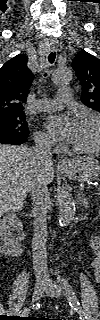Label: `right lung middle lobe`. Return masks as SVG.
Returning a JSON list of instances; mask_svg holds the SVG:
<instances>
[{
    "label": "right lung middle lobe",
    "instance_id": "dd1d6c3e",
    "mask_svg": "<svg viewBox=\"0 0 100 320\" xmlns=\"http://www.w3.org/2000/svg\"><path fill=\"white\" fill-rule=\"evenodd\" d=\"M25 117L0 119V140L6 138H27L29 131Z\"/></svg>",
    "mask_w": 100,
    "mask_h": 320
}]
</instances>
